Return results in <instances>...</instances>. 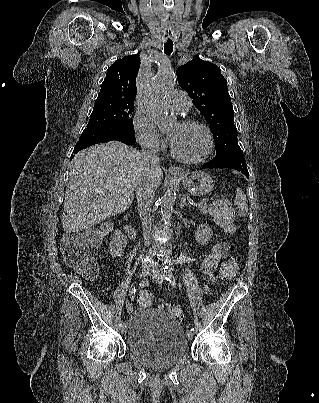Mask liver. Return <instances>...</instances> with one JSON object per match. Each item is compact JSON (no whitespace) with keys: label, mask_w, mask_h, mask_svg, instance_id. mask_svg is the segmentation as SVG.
Segmentation results:
<instances>
[{"label":"liver","mask_w":319,"mask_h":403,"mask_svg":"<svg viewBox=\"0 0 319 403\" xmlns=\"http://www.w3.org/2000/svg\"><path fill=\"white\" fill-rule=\"evenodd\" d=\"M146 174L141 153L121 142L97 144L79 152L72 161L66 189L64 231L86 230L127 210ZM162 178L159 166L152 172L155 189Z\"/></svg>","instance_id":"liver-1"}]
</instances>
